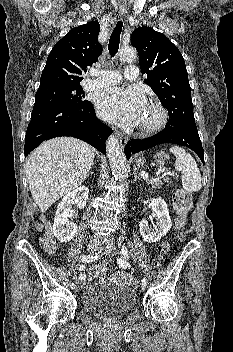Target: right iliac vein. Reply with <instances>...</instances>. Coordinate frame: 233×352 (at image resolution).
I'll list each match as a JSON object with an SVG mask.
<instances>
[{"label": "right iliac vein", "instance_id": "1", "mask_svg": "<svg viewBox=\"0 0 233 352\" xmlns=\"http://www.w3.org/2000/svg\"><path fill=\"white\" fill-rule=\"evenodd\" d=\"M88 251H89L90 254L94 255V254H97L98 248L95 247L94 245H89V246H88ZM74 290H75V292H79V291H80V288L76 286V287L74 288Z\"/></svg>", "mask_w": 233, "mask_h": 352}]
</instances>
